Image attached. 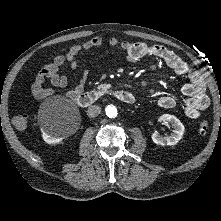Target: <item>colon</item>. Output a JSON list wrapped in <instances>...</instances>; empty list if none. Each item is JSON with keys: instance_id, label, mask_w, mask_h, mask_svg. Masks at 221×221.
<instances>
[{"instance_id": "5ec220e1", "label": "colon", "mask_w": 221, "mask_h": 221, "mask_svg": "<svg viewBox=\"0 0 221 221\" xmlns=\"http://www.w3.org/2000/svg\"><path fill=\"white\" fill-rule=\"evenodd\" d=\"M28 122V118L26 115H17L13 119V124L18 129H23L26 127ZM209 123L207 121H201L199 123V132L200 134H206L209 131Z\"/></svg>"}]
</instances>
